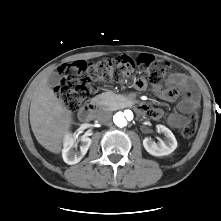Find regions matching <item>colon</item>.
<instances>
[{"instance_id":"colon-1","label":"colon","mask_w":221,"mask_h":221,"mask_svg":"<svg viewBox=\"0 0 221 221\" xmlns=\"http://www.w3.org/2000/svg\"><path fill=\"white\" fill-rule=\"evenodd\" d=\"M135 68L143 71L146 82L156 87L164 84L175 74V69L169 61L148 54H143L137 59L118 57L92 63L79 60L61 67V81L57 88V96L70 111L85 109L91 96L93 82L108 79L119 80L132 73ZM143 85L142 82L140 87ZM197 124L198 111L194 109L182 129L183 138H192L196 132Z\"/></svg>"}]
</instances>
